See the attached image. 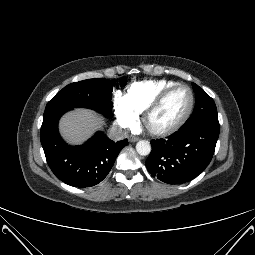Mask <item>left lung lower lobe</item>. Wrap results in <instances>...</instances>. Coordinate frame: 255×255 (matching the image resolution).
<instances>
[{
	"mask_svg": "<svg viewBox=\"0 0 255 255\" xmlns=\"http://www.w3.org/2000/svg\"><path fill=\"white\" fill-rule=\"evenodd\" d=\"M220 128L204 126L180 129L168 139L151 141L146 167L153 177L182 184L197 177L210 163Z\"/></svg>",
	"mask_w": 255,
	"mask_h": 255,
	"instance_id": "obj_1",
	"label": "left lung lower lobe"
}]
</instances>
